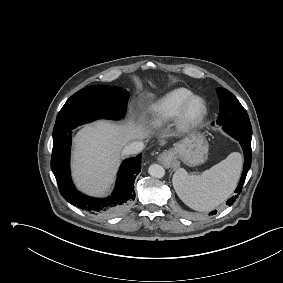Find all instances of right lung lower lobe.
Here are the masks:
<instances>
[{
    "label": "right lung lower lobe",
    "mask_w": 283,
    "mask_h": 283,
    "mask_svg": "<svg viewBox=\"0 0 283 283\" xmlns=\"http://www.w3.org/2000/svg\"><path fill=\"white\" fill-rule=\"evenodd\" d=\"M71 134L53 141L51 169L61 195L72 205L99 216L121 213L134 199V180L141 170V156L125 160L118 172L114 192L105 199L88 197L77 191L70 176Z\"/></svg>",
    "instance_id": "right-lung-lower-lobe-1"
}]
</instances>
